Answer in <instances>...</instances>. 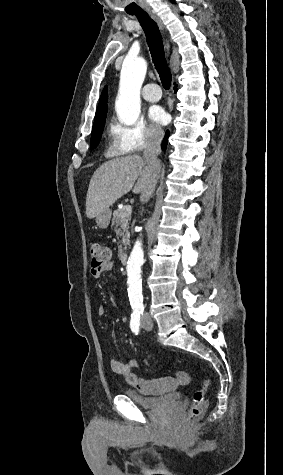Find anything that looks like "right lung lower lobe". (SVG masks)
Segmentation results:
<instances>
[{"label": "right lung lower lobe", "instance_id": "1", "mask_svg": "<svg viewBox=\"0 0 283 475\" xmlns=\"http://www.w3.org/2000/svg\"><path fill=\"white\" fill-rule=\"evenodd\" d=\"M174 90L176 91V87H174ZM168 136H169V131L166 132L164 140L162 142V149L165 150L168 142Z\"/></svg>", "mask_w": 283, "mask_h": 475}]
</instances>
